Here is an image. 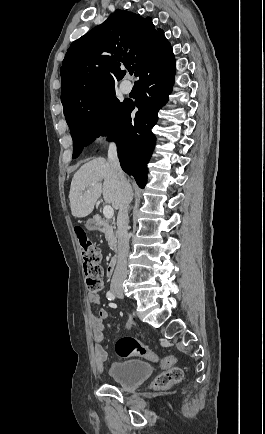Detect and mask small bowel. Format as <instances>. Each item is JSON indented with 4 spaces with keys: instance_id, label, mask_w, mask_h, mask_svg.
Wrapping results in <instances>:
<instances>
[{
    "instance_id": "small-bowel-1",
    "label": "small bowel",
    "mask_w": 265,
    "mask_h": 434,
    "mask_svg": "<svg viewBox=\"0 0 265 434\" xmlns=\"http://www.w3.org/2000/svg\"><path fill=\"white\" fill-rule=\"evenodd\" d=\"M87 301L90 304H99L100 296L97 293L89 292L86 296ZM109 317V312L105 308L98 310L97 314H91L90 322L92 327V340H93V356L92 363L94 371L97 374H101L104 370L105 363L107 360V351L103 346L105 339V332L107 328V319ZM174 362L170 361L168 357L160 360L159 366L161 369L166 370L172 367Z\"/></svg>"
}]
</instances>
